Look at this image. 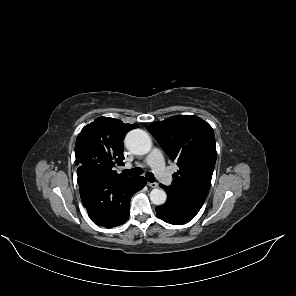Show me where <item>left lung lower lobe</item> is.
<instances>
[{
	"label": "left lung lower lobe",
	"instance_id": "left-lung-lower-lobe-1",
	"mask_svg": "<svg viewBox=\"0 0 296 296\" xmlns=\"http://www.w3.org/2000/svg\"><path fill=\"white\" fill-rule=\"evenodd\" d=\"M167 192V202L156 207L157 214L165 222L180 225L192 220L201 209L206 196L196 194H183L160 185Z\"/></svg>",
	"mask_w": 296,
	"mask_h": 296
}]
</instances>
